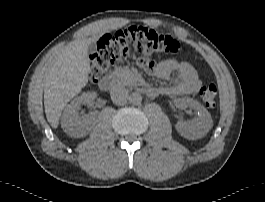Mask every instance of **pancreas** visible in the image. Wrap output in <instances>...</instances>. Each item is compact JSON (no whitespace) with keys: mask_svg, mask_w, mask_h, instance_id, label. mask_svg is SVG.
Masks as SVG:
<instances>
[{"mask_svg":"<svg viewBox=\"0 0 265 202\" xmlns=\"http://www.w3.org/2000/svg\"><path fill=\"white\" fill-rule=\"evenodd\" d=\"M113 74L123 85H128V86L137 85V79L135 73L128 68L118 67L114 70Z\"/></svg>","mask_w":265,"mask_h":202,"instance_id":"1","label":"pancreas"}]
</instances>
